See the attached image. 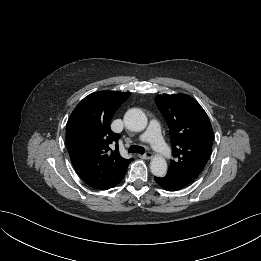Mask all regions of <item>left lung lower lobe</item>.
<instances>
[{"label":"left lung lower lobe","mask_w":261,"mask_h":261,"mask_svg":"<svg viewBox=\"0 0 261 261\" xmlns=\"http://www.w3.org/2000/svg\"><path fill=\"white\" fill-rule=\"evenodd\" d=\"M155 181L165 190L167 191H177L184 187H186L188 184H186L184 181L178 179L177 177L173 175L166 174V176L163 177H154Z\"/></svg>","instance_id":"left-lung-lower-lobe-1"}]
</instances>
